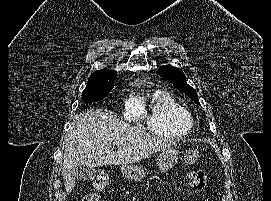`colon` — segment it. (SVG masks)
Here are the masks:
<instances>
[{
	"mask_svg": "<svg viewBox=\"0 0 271 201\" xmlns=\"http://www.w3.org/2000/svg\"><path fill=\"white\" fill-rule=\"evenodd\" d=\"M200 159V152L196 148L189 149L186 152L185 160L190 166L194 165ZM108 187V179L104 176L97 177L91 184V190L83 198V201H98L99 194Z\"/></svg>",
	"mask_w": 271,
	"mask_h": 201,
	"instance_id": "5ec220e1",
	"label": "colon"
}]
</instances>
